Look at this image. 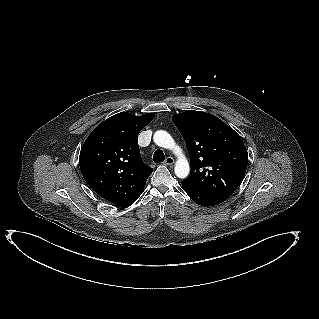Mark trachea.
<instances>
[{
  "mask_svg": "<svg viewBox=\"0 0 319 319\" xmlns=\"http://www.w3.org/2000/svg\"><path fill=\"white\" fill-rule=\"evenodd\" d=\"M165 160V155L162 150H156L153 154V161L155 163H161Z\"/></svg>",
  "mask_w": 319,
  "mask_h": 319,
  "instance_id": "obj_1",
  "label": "trachea"
}]
</instances>
